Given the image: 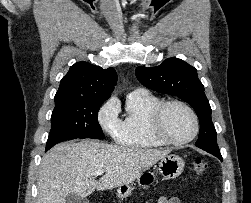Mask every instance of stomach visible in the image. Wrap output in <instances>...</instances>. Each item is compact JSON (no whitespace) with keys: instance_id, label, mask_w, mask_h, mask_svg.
Instances as JSON below:
<instances>
[{"instance_id":"1","label":"stomach","mask_w":251,"mask_h":203,"mask_svg":"<svg viewBox=\"0 0 251 203\" xmlns=\"http://www.w3.org/2000/svg\"><path fill=\"white\" fill-rule=\"evenodd\" d=\"M184 160L175 154H169L163 157L158 166V172L165 179H174L178 177L184 169ZM157 182L156 174L151 171L143 172L137 179L139 186L149 188ZM133 187L131 185L120 186L117 190V196L120 198H127L131 196Z\"/></svg>"}]
</instances>
